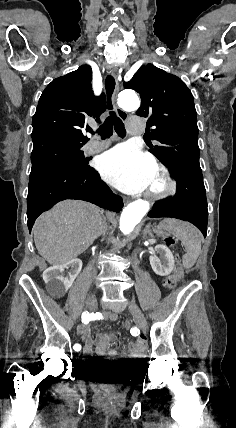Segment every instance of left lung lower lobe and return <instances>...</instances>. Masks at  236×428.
Wrapping results in <instances>:
<instances>
[{
  "label": "left lung lower lobe",
  "instance_id": "1",
  "mask_svg": "<svg viewBox=\"0 0 236 428\" xmlns=\"http://www.w3.org/2000/svg\"><path fill=\"white\" fill-rule=\"evenodd\" d=\"M177 182V192L165 202H157L148 213L151 218L171 217L194 224L206 237L208 210L202 171L169 167Z\"/></svg>",
  "mask_w": 236,
  "mask_h": 428
}]
</instances>
